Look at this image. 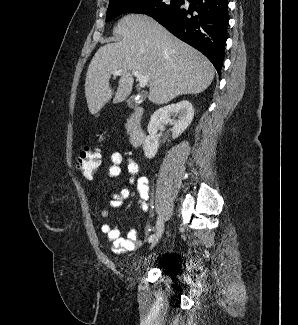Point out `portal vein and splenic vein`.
<instances>
[{"instance_id": "portal-vein-and-splenic-vein-1", "label": "portal vein and splenic vein", "mask_w": 298, "mask_h": 325, "mask_svg": "<svg viewBox=\"0 0 298 325\" xmlns=\"http://www.w3.org/2000/svg\"><path fill=\"white\" fill-rule=\"evenodd\" d=\"M113 74L114 76H117V74H121V70H114ZM131 74H133V76H136L137 80H139V86H141V88H143V86H146L150 80L149 76H144V74L137 72V70H131Z\"/></svg>"}]
</instances>
